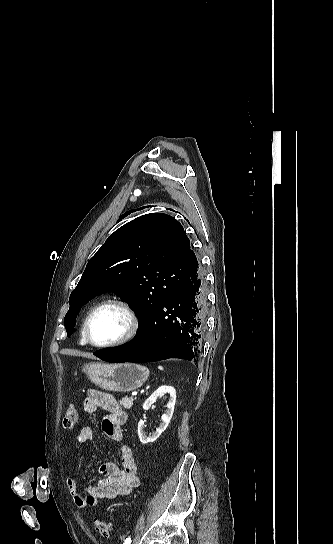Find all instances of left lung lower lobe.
Wrapping results in <instances>:
<instances>
[{
	"label": "left lung lower lobe",
	"mask_w": 333,
	"mask_h": 544,
	"mask_svg": "<svg viewBox=\"0 0 333 544\" xmlns=\"http://www.w3.org/2000/svg\"><path fill=\"white\" fill-rule=\"evenodd\" d=\"M206 317L204 274L198 264L162 305L140 324L127 344L94 353L108 362L133 359L154 362L168 358L195 361L200 353Z\"/></svg>",
	"instance_id": "obj_1"
}]
</instances>
